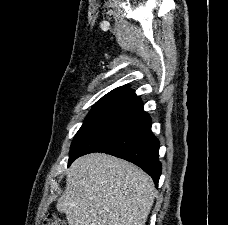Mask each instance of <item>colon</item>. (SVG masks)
Masks as SVG:
<instances>
[{
    "label": "colon",
    "mask_w": 228,
    "mask_h": 225,
    "mask_svg": "<svg viewBox=\"0 0 228 225\" xmlns=\"http://www.w3.org/2000/svg\"><path fill=\"white\" fill-rule=\"evenodd\" d=\"M45 225H65V222L56 215L50 214L45 220Z\"/></svg>",
    "instance_id": "colon-1"
}]
</instances>
